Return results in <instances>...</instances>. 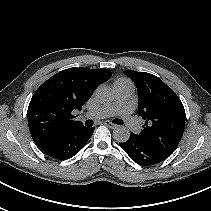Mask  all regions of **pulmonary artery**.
I'll return each instance as SVG.
<instances>
[{"label":"pulmonary artery","instance_id":"obj_1","mask_svg":"<svg viewBox=\"0 0 211 211\" xmlns=\"http://www.w3.org/2000/svg\"><path fill=\"white\" fill-rule=\"evenodd\" d=\"M115 101L111 104L100 106L99 108L87 112L82 118L103 119L113 115H119L127 123L128 127L133 130H139V126L134 122L130 113V99L134 92L132 84L118 85L114 87Z\"/></svg>","mask_w":211,"mask_h":211}]
</instances>
